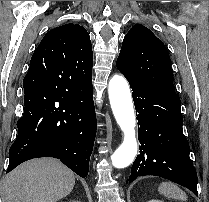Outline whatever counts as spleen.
<instances>
[{"mask_svg":"<svg viewBox=\"0 0 209 202\" xmlns=\"http://www.w3.org/2000/svg\"><path fill=\"white\" fill-rule=\"evenodd\" d=\"M158 191L160 192V194L168 198L178 199L180 201L187 200L185 192L171 182H162L159 185Z\"/></svg>","mask_w":209,"mask_h":202,"instance_id":"obj_1","label":"spleen"}]
</instances>
